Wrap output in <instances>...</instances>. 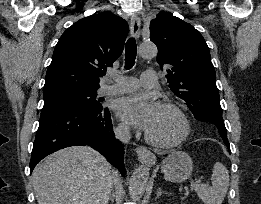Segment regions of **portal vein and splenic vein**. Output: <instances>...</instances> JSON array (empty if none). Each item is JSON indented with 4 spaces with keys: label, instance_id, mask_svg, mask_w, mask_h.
I'll list each match as a JSON object with an SVG mask.
<instances>
[{
    "label": "portal vein and splenic vein",
    "instance_id": "obj_1",
    "mask_svg": "<svg viewBox=\"0 0 261 204\" xmlns=\"http://www.w3.org/2000/svg\"><path fill=\"white\" fill-rule=\"evenodd\" d=\"M201 183H203V181H201V180L192 182V183H191V191H193V190L196 188V186L199 185V184H201Z\"/></svg>",
    "mask_w": 261,
    "mask_h": 204
}]
</instances>
